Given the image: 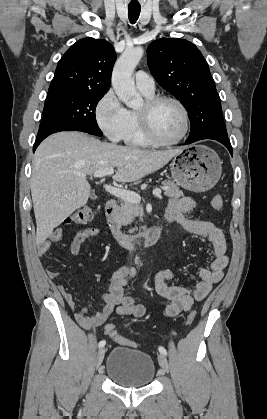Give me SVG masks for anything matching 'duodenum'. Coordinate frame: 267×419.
<instances>
[{
	"label": "duodenum",
	"instance_id": "410a0bca",
	"mask_svg": "<svg viewBox=\"0 0 267 419\" xmlns=\"http://www.w3.org/2000/svg\"><path fill=\"white\" fill-rule=\"evenodd\" d=\"M117 209V200L110 199L106 202L105 215L107 218L108 226L113 237L119 244L134 248L140 246L153 245L160 240L165 228L164 224L154 225L142 233L131 236L123 232L122 229L115 222V214Z\"/></svg>",
	"mask_w": 267,
	"mask_h": 419
}]
</instances>
